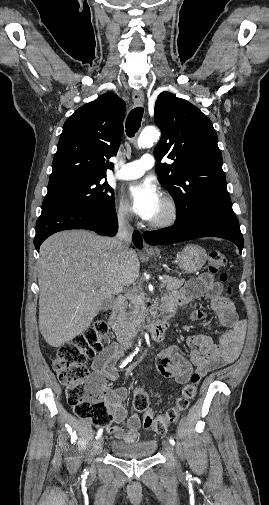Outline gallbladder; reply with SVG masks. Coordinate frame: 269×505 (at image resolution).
I'll return each mask as SVG.
<instances>
[{
  "label": "gallbladder",
  "mask_w": 269,
  "mask_h": 505,
  "mask_svg": "<svg viewBox=\"0 0 269 505\" xmlns=\"http://www.w3.org/2000/svg\"><path fill=\"white\" fill-rule=\"evenodd\" d=\"M111 306H112V301H107V302L104 303L102 309L103 310H109L111 308Z\"/></svg>",
  "instance_id": "1"
}]
</instances>
